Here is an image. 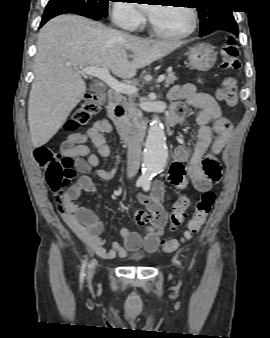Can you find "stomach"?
<instances>
[{
    "label": "stomach",
    "instance_id": "stomach-1",
    "mask_svg": "<svg viewBox=\"0 0 270 338\" xmlns=\"http://www.w3.org/2000/svg\"><path fill=\"white\" fill-rule=\"evenodd\" d=\"M188 61L191 69L206 72L214 66L216 54L211 45L201 43L190 49Z\"/></svg>",
    "mask_w": 270,
    "mask_h": 338
}]
</instances>
